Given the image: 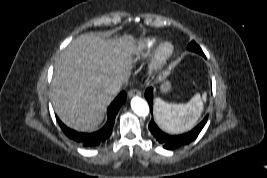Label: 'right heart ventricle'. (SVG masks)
<instances>
[{"label": "right heart ventricle", "mask_w": 267, "mask_h": 178, "mask_svg": "<svg viewBox=\"0 0 267 178\" xmlns=\"http://www.w3.org/2000/svg\"><path fill=\"white\" fill-rule=\"evenodd\" d=\"M157 44L158 40L155 37H147L143 39L135 48L136 57H146L155 49Z\"/></svg>", "instance_id": "1"}]
</instances>
